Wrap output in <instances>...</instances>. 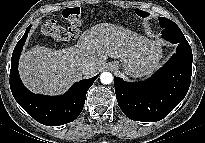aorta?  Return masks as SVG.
<instances>
[{
	"mask_svg": "<svg viewBox=\"0 0 205 143\" xmlns=\"http://www.w3.org/2000/svg\"><path fill=\"white\" fill-rule=\"evenodd\" d=\"M100 80L102 84H110L113 81V75L110 72H103L100 75Z\"/></svg>",
	"mask_w": 205,
	"mask_h": 143,
	"instance_id": "obj_1",
	"label": "aorta"
}]
</instances>
